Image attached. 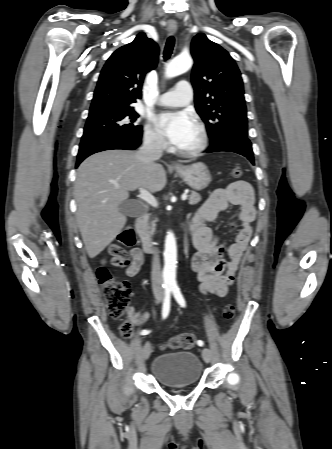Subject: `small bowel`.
<instances>
[{"instance_id":"obj_1","label":"small bowel","mask_w":332,"mask_h":449,"mask_svg":"<svg viewBox=\"0 0 332 449\" xmlns=\"http://www.w3.org/2000/svg\"><path fill=\"white\" fill-rule=\"evenodd\" d=\"M229 205L239 207V232L235 242L229 247L227 256L224 257V246L208 223L214 221ZM254 219L253 190L243 181L233 182L226 188L214 191L197 209L189 221L193 244L197 251L192 267L197 273L203 293L223 296L234 284L241 258L252 235ZM124 253L127 258V263L123 265L126 274L134 277L144 263V254L139 248H132L128 252L124 250ZM130 317L132 322L139 326L145 323L147 314L130 311Z\"/></svg>"}]
</instances>
